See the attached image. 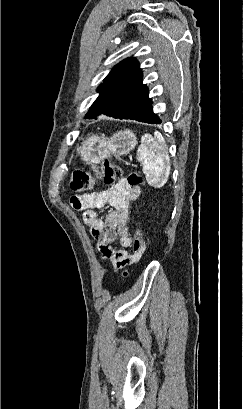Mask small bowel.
<instances>
[{
	"label": "small bowel",
	"instance_id": "small-bowel-1",
	"mask_svg": "<svg viewBox=\"0 0 243 409\" xmlns=\"http://www.w3.org/2000/svg\"><path fill=\"white\" fill-rule=\"evenodd\" d=\"M140 187H131L125 179L114 186L72 197L75 209L84 211V222L89 227L97 248L104 260L111 261L115 268H123L139 260L145 250L144 242L141 253H130L125 248L132 245V238L127 231V221L131 203L140 195ZM111 209L105 218L96 213L105 206ZM119 239L122 248L115 249L109 244Z\"/></svg>",
	"mask_w": 243,
	"mask_h": 409
}]
</instances>
